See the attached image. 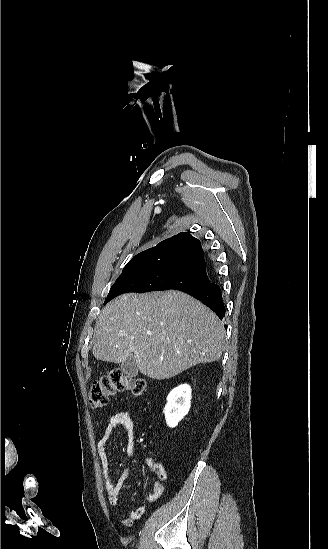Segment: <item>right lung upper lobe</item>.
I'll return each instance as SVG.
<instances>
[{"label": "right lung upper lobe", "mask_w": 328, "mask_h": 549, "mask_svg": "<svg viewBox=\"0 0 328 549\" xmlns=\"http://www.w3.org/2000/svg\"><path fill=\"white\" fill-rule=\"evenodd\" d=\"M206 265L200 241L189 233L181 232L137 254L123 271L145 268L171 269L207 278Z\"/></svg>", "instance_id": "cb5924a9"}]
</instances>
